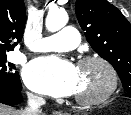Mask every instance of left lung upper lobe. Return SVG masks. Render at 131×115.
Returning <instances> with one entry per match:
<instances>
[{"instance_id": "1", "label": "left lung upper lobe", "mask_w": 131, "mask_h": 115, "mask_svg": "<svg viewBox=\"0 0 131 115\" xmlns=\"http://www.w3.org/2000/svg\"><path fill=\"white\" fill-rule=\"evenodd\" d=\"M75 12L92 48L117 71L131 98V24L106 0H76Z\"/></svg>"}]
</instances>
